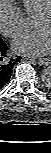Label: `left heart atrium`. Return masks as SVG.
I'll return each instance as SVG.
<instances>
[{
  "label": "left heart atrium",
  "instance_id": "39dd6f15",
  "mask_svg": "<svg viewBox=\"0 0 51 153\" xmlns=\"http://www.w3.org/2000/svg\"><path fill=\"white\" fill-rule=\"evenodd\" d=\"M12 48L25 55H45L51 48L50 33L45 29L25 33L13 41Z\"/></svg>",
  "mask_w": 51,
  "mask_h": 153
}]
</instances>
